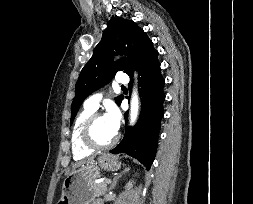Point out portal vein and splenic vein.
I'll return each mask as SVG.
<instances>
[{
    "mask_svg": "<svg viewBox=\"0 0 253 204\" xmlns=\"http://www.w3.org/2000/svg\"><path fill=\"white\" fill-rule=\"evenodd\" d=\"M105 182H106L107 184H110V183H111V180H110V179H107Z\"/></svg>",
    "mask_w": 253,
    "mask_h": 204,
    "instance_id": "1",
    "label": "portal vein and splenic vein"
}]
</instances>
